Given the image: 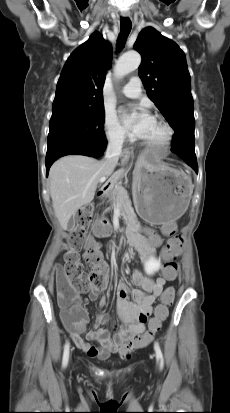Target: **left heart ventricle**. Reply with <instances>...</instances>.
I'll use <instances>...</instances> for the list:
<instances>
[{"instance_id":"obj_1","label":"left heart ventricle","mask_w":230,"mask_h":413,"mask_svg":"<svg viewBox=\"0 0 230 413\" xmlns=\"http://www.w3.org/2000/svg\"><path fill=\"white\" fill-rule=\"evenodd\" d=\"M163 135L164 132L161 126L155 120H153L149 130L142 138L146 141H158L163 137Z\"/></svg>"}]
</instances>
